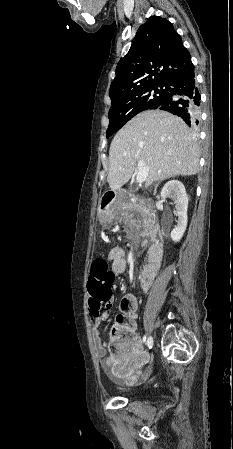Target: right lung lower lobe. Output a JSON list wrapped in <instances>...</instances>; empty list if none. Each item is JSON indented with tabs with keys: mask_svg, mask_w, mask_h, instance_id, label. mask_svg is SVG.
<instances>
[{
	"mask_svg": "<svg viewBox=\"0 0 233 449\" xmlns=\"http://www.w3.org/2000/svg\"><path fill=\"white\" fill-rule=\"evenodd\" d=\"M166 85L168 92L157 109L171 112L181 117L190 127H196L199 123L201 97L195 83L194 68L172 78Z\"/></svg>",
	"mask_w": 233,
	"mask_h": 449,
	"instance_id": "1",
	"label": "right lung lower lobe"
}]
</instances>
